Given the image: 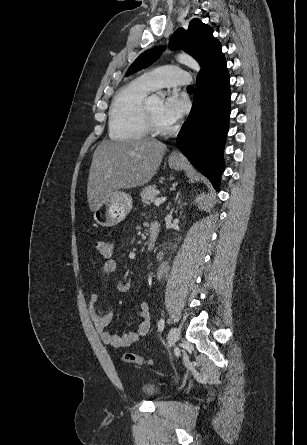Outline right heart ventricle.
<instances>
[{
	"mask_svg": "<svg viewBox=\"0 0 307 445\" xmlns=\"http://www.w3.org/2000/svg\"><path fill=\"white\" fill-rule=\"evenodd\" d=\"M153 87L146 79L121 90L109 111V135L114 140H148L149 128L143 114L144 103Z\"/></svg>",
	"mask_w": 307,
	"mask_h": 445,
	"instance_id": "obj_1",
	"label": "right heart ventricle"
}]
</instances>
